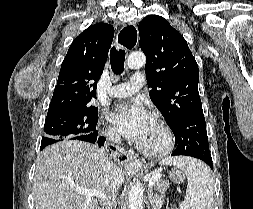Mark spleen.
Returning a JSON list of instances; mask_svg holds the SVG:
<instances>
[{"label": "spleen", "instance_id": "spleen-1", "mask_svg": "<svg viewBox=\"0 0 253 209\" xmlns=\"http://www.w3.org/2000/svg\"><path fill=\"white\" fill-rule=\"evenodd\" d=\"M160 164L174 165L187 176V197L180 203V209H212L214 182L211 170L202 161L190 157H169Z\"/></svg>", "mask_w": 253, "mask_h": 209}]
</instances>
